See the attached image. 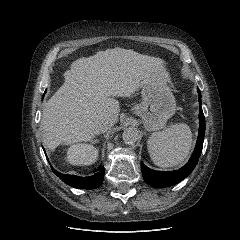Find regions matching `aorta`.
Segmentation results:
<instances>
[{"mask_svg": "<svg viewBox=\"0 0 240 240\" xmlns=\"http://www.w3.org/2000/svg\"><path fill=\"white\" fill-rule=\"evenodd\" d=\"M122 138L126 144H133L139 138V131L135 127H128L123 131Z\"/></svg>", "mask_w": 240, "mask_h": 240, "instance_id": "obj_1", "label": "aorta"}]
</instances>
